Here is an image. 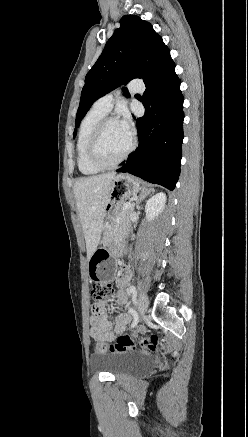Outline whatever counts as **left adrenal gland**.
<instances>
[{
    "mask_svg": "<svg viewBox=\"0 0 248 437\" xmlns=\"http://www.w3.org/2000/svg\"><path fill=\"white\" fill-rule=\"evenodd\" d=\"M151 192H154V190L152 189V190H148V191L147 190L143 191L136 202L137 206L145 199V196H147Z\"/></svg>",
    "mask_w": 248,
    "mask_h": 437,
    "instance_id": "a2214340",
    "label": "left adrenal gland"
}]
</instances>
